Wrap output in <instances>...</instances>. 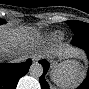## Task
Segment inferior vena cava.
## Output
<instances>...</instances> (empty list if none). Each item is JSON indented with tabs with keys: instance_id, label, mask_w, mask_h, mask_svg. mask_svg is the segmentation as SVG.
<instances>
[{
	"instance_id": "1",
	"label": "inferior vena cava",
	"mask_w": 89,
	"mask_h": 89,
	"mask_svg": "<svg viewBox=\"0 0 89 89\" xmlns=\"http://www.w3.org/2000/svg\"><path fill=\"white\" fill-rule=\"evenodd\" d=\"M21 59V58H20ZM14 60H18V58H14Z\"/></svg>"
}]
</instances>
